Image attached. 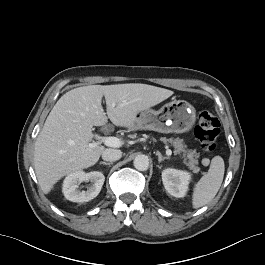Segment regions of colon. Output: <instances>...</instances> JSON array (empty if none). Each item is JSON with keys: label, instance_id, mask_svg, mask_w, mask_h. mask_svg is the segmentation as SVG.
I'll return each mask as SVG.
<instances>
[{"label": "colon", "instance_id": "1", "mask_svg": "<svg viewBox=\"0 0 265 265\" xmlns=\"http://www.w3.org/2000/svg\"><path fill=\"white\" fill-rule=\"evenodd\" d=\"M219 132L220 123L218 119L209 111H200L194 133L205 152H212L215 149Z\"/></svg>", "mask_w": 265, "mask_h": 265}]
</instances>
